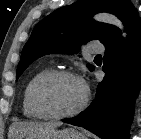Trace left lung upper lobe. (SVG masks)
<instances>
[{
  "instance_id": "5c2ea615",
  "label": "left lung upper lobe",
  "mask_w": 141,
  "mask_h": 139,
  "mask_svg": "<svg viewBox=\"0 0 141 139\" xmlns=\"http://www.w3.org/2000/svg\"><path fill=\"white\" fill-rule=\"evenodd\" d=\"M100 11L114 13L125 25V31L138 22V12L130 0H78L56 9L33 29L25 44L16 71V79L39 57L52 53H77L82 44L99 40L105 45L121 36L115 26L94 21L91 16ZM93 70V66L89 65Z\"/></svg>"
}]
</instances>
